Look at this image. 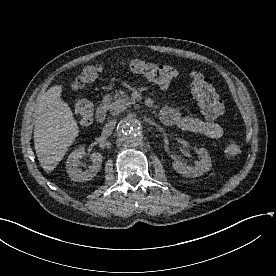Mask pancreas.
I'll list each match as a JSON object with an SVG mask.
<instances>
[{
	"mask_svg": "<svg viewBox=\"0 0 276 276\" xmlns=\"http://www.w3.org/2000/svg\"><path fill=\"white\" fill-rule=\"evenodd\" d=\"M104 100L106 101L109 112L113 115L119 114L134 103L123 91L115 93L113 97L106 96Z\"/></svg>",
	"mask_w": 276,
	"mask_h": 276,
	"instance_id": "cf45deb5",
	"label": "pancreas"
}]
</instances>
